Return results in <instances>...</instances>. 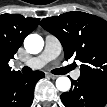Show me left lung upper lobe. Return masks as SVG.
I'll return each instance as SVG.
<instances>
[{
    "label": "left lung upper lobe",
    "mask_w": 107,
    "mask_h": 107,
    "mask_svg": "<svg viewBox=\"0 0 107 107\" xmlns=\"http://www.w3.org/2000/svg\"><path fill=\"white\" fill-rule=\"evenodd\" d=\"M40 25L60 40L66 59L82 62V79L107 85V21L76 11L45 18Z\"/></svg>",
    "instance_id": "left-lung-upper-lobe-1"
}]
</instances>
